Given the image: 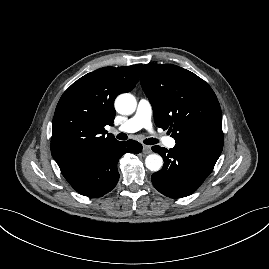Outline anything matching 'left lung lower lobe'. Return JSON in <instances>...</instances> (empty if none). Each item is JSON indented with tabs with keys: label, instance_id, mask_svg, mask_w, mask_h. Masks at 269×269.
I'll list each match as a JSON object with an SVG mask.
<instances>
[{
	"label": "left lung lower lobe",
	"instance_id": "left-lung-lower-lobe-1",
	"mask_svg": "<svg viewBox=\"0 0 269 269\" xmlns=\"http://www.w3.org/2000/svg\"><path fill=\"white\" fill-rule=\"evenodd\" d=\"M222 148L195 142L176 143L169 150L153 146L164 159L162 170L152 175L154 187L171 198L192 194L212 172Z\"/></svg>",
	"mask_w": 269,
	"mask_h": 269
}]
</instances>
